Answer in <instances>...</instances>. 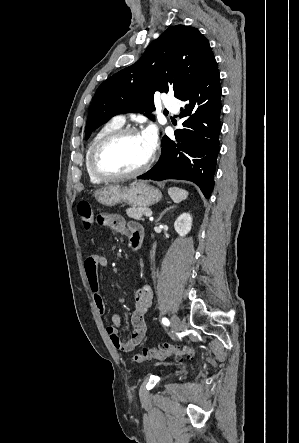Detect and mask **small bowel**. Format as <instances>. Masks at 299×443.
<instances>
[{"label":"small bowel","mask_w":299,"mask_h":443,"mask_svg":"<svg viewBox=\"0 0 299 443\" xmlns=\"http://www.w3.org/2000/svg\"><path fill=\"white\" fill-rule=\"evenodd\" d=\"M100 226L108 227L116 230L120 234L129 237V245L133 241L142 243L144 238V229L142 225L135 221L126 222L125 219L113 213H102L98 217ZM108 260L100 255L89 256L84 263V270L86 278L91 291L94 294L97 311L104 315L107 312V307L103 297L100 294L98 268L108 267ZM152 302V291L148 284L140 287L135 294L134 309L131 314V324L133 327L131 336L128 340L123 341L118 333V328L121 325L120 316L113 312L110 315L112 325L106 327V332L110 338L112 345L123 353L133 352L145 337L148 323L146 316Z\"/></svg>","instance_id":"obj_1"}]
</instances>
